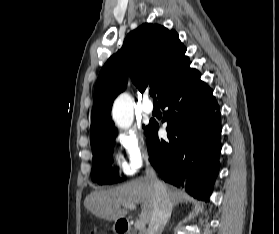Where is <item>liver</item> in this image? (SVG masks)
I'll return each mask as SVG.
<instances>
[{"instance_id":"obj_1","label":"liver","mask_w":279,"mask_h":234,"mask_svg":"<svg viewBox=\"0 0 279 234\" xmlns=\"http://www.w3.org/2000/svg\"><path fill=\"white\" fill-rule=\"evenodd\" d=\"M167 193L173 205L188 199V195L171 185H166ZM154 188L147 178H139L107 191H94L84 200L85 208L98 218L107 221L123 219L127 209H121L124 203H141L140 220L150 222L153 214Z\"/></svg>"}]
</instances>
